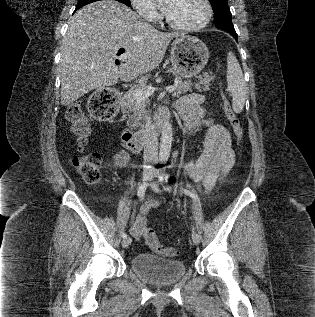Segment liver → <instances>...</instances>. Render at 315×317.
<instances>
[{"label":"liver","mask_w":315,"mask_h":317,"mask_svg":"<svg viewBox=\"0 0 315 317\" xmlns=\"http://www.w3.org/2000/svg\"><path fill=\"white\" fill-rule=\"evenodd\" d=\"M184 36L156 30L115 0L81 8L69 21L61 43V104L69 106L91 90L112 86L119 79L146 80L163 60L170 41ZM120 48L125 49L127 59L117 66Z\"/></svg>","instance_id":"6515ba94"}]
</instances>
